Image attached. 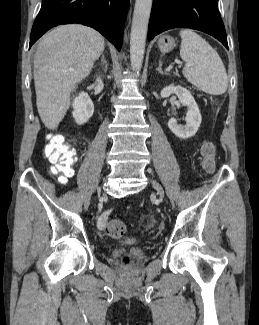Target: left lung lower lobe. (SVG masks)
I'll return each mask as SVG.
<instances>
[{
  "mask_svg": "<svg viewBox=\"0 0 259 325\" xmlns=\"http://www.w3.org/2000/svg\"><path fill=\"white\" fill-rule=\"evenodd\" d=\"M217 5L218 0H153L148 40L168 29L190 28L215 37L228 49Z\"/></svg>",
  "mask_w": 259,
  "mask_h": 325,
  "instance_id": "0a47b994",
  "label": "left lung lower lobe"
}]
</instances>
